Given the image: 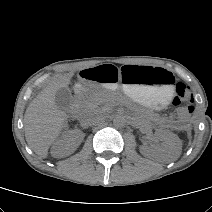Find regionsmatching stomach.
Segmentation results:
<instances>
[{
    "mask_svg": "<svg viewBox=\"0 0 212 212\" xmlns=\"http://www.w3.org/2000/svg\"><path fill=\"white\" fill-rule=\"evenodd\" d=\"M84 81L107 86L151 109L163 108L172 97L174 77L160 66L98 64L81 71Z\"/></svg>",
    "mask_w": 212,
    "mask_h": 212,
    "instance_id": "obj_1",
    "label": "stomach"
}]
</instances>
